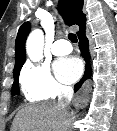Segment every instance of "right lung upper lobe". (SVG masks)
I'll return each mask as SVG.
<instances>
[{"label":"right lung upper lobe","instance_id":"1","mask_svg":"<svg viewBox=\"0 0 117 131\" xmlns=\"http://www.w3.org/2000/svg\"><path fill=\"white\" fill-rule=\"evenodd\" d=\"M83 0H59V11L63 15L67 25H78L80 30L77 35L84 32L86 16L83 13ZM30 32V23L25 22L19 28L15 41V67L13 75L20 73L22 65L26 60L25 42Z\"/></svg>","mask_w":117,"mask_h":131}]
</instances>
